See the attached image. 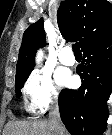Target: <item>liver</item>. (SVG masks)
Returning <instances> with one entry per match:
<instances>
[{
    "mask_svg": "<svg viewBox=\"0 0 112 135\" xmlns=\"http://www.w3.org/2000/svg\"><path fill=\"white\" fill-rule=\"evenodd\" d=\"M4 135H54L49 120L33 122H11L7 125ZM62 135H67L63 128Z\"/></svg>",
    "mask_w": 112,
    "mask_h": 135,
    "instance_id": "1",
    "label": "liver"
}]
</instances>
